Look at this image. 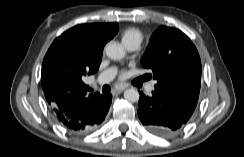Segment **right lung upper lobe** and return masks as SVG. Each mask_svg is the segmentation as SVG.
Segmentation results:
<instances>
[{
    "instance_id": "right-lung-upper-lobe-1",
    "label": "right lung upper lobe",
    "mask_w": 244,
    "mask_h": 157,
    "mask_svg": "<svg viewBox=\"0 0 244 157\" xmlns=\"http://www.w3.org/2000/svg\"><path fill=\"white\" fill-rule=\"evenodd\" d=\"M118 30L117 23L83 24L55 39L41 71L42 88L50 105L60 102L67 106L79 98L88 99L82 78L98 70L104 45Z\"/></svg>"
}]
</instances>
